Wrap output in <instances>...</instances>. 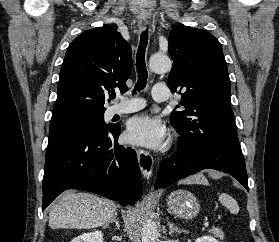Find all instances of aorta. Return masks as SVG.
Here are the masks:
<instances>
[{"label":"aorta","instance_id":"aorta-1","mask_svg":"<svg viewBox=\"0 0 279 242\" xmlns=\"http://www.w3.org/2000/svg\"><path fill=\"white\" fill-rule=\"evenodd\" d=\"M149 67L152 72L166 73L170 71L172 62L167 55L157 53L151 56ZM157 234L156 222L153 220V214H150L149 217L146 218L142 227V242H156Z\"/></svg>","mask_w":279,"mask_h":242}]
</instances>
